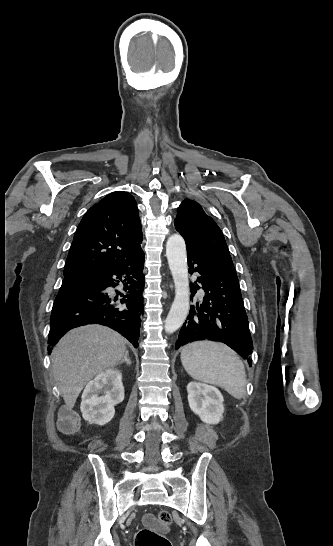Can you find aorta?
<instances>
[{
    "mask_svg": "<svg viewBox=\"0 0 333 546\" xmlns=\"http://www.w3.org/2000/svg\"><path fill=\"white\" fill-rule=\"evenodd\" d=\"M166 256L175 284V299L165 321V331L171 334L184 323L189 311V279L184 239L174 234L166 243Z\"/></svg>",
    "mask_w": 333,
    "mask_h": 546,
    "instance_id": "1",
    "label": "aorta"
}]
</instances>
